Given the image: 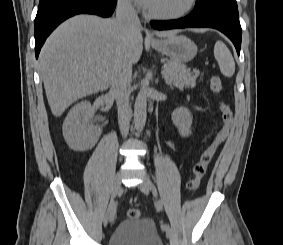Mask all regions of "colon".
Instances as JSON below:
<instances>
[{
  "label": "colon",
  "instance_id": "5ec220e1",
  "mask_svg": "<svg viewBox=\"0 0 283 245\" xmlns=\"http://www.w3.org/2000/svg\"><path fill=\"white\" fill-rule=\"evenodd\" d=\"M210 88L214 93H219L222 90V81L220 77L213 76L210 79ZM219 111L222 126L214 136L211 143L200 154L198 161L193 166V177L188 182V188L192 191H196L199 188L200 182L206 174L207 168L211 163L218 146L224 141L232 126L233 113L230 105L226 102H220ZM140 215V210L138 208H131L128 211V217L131 219H137Z\"/></svg>",
  "mask_w": 283,
  "mask_h": 245
}]
</instances>
